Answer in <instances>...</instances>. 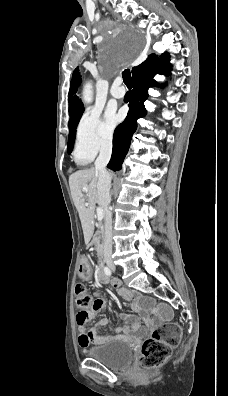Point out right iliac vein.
Listing matches in <instances>:
<instances>
[{
	"instance_id": "obj_1",
	"label": "right iliac vein",
	"mask_w": 228,
	"mask_h": 396,
	"mask_svg": "<svg viewBox=\"0 0 228 396\" xmlns=\"http://www.w3.org/2000/svg\"><path fill=\"white\" fill-rule=\"evenodd\" d=\"M107 264L112 270L116 269V266H115V264L112 261H109Z\"/></svg>"
}]
</instances>
